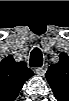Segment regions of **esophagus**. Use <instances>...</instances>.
<instances>
[{"mask_svg": "<svg viewBox=\"0 0 69 101\" xmlns=\"http://www.w3.org/2000/svg\"><path fill=\"white\" fill-rule=\"evenodd\" d=\"M35 71L39 76H44L46 72V66L38 67Z\"/></svg>", "mask_w": 69, "mask_h": 101, "instance_id": "1", "label": "esophagus"}]
</instances>
